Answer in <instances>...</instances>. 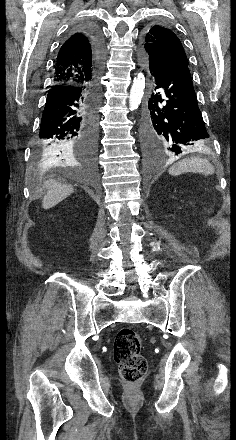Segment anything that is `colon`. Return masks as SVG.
Wrapping results in <instances>:
<instances>
[{
    "label": "colon",
    "mask_w": 236,
    "mask_h": 440,
    "mask_svg": "<svg viewBox=\"0 0 236 440\" xmlns=\"http://www.w3.org/2000/svg\"><path fill=\"white\" fill-rule=\"evenodd\" d=\"M141 337L132 328H122L114 341V357L121 377L127 382L141 380L147 371V361L141 354Z\"/></svg>",
    "instance_id": "5ec220e1"
}]
</instances>
